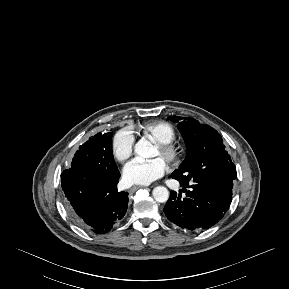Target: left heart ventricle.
<instances>
[{"instance_id":"obj_1","label":"left heart ventricle","mask_w":289,"mask_h":289,"mask_svg":"<svg viewBox=\"0 0 289 289\" xmlns=\"http://www.w3.org/2000/svg\"><path fill=\"white\" fill-rule=\"evenodd\" d=\"M150 157H151V158H159V159H161L164 163H166L165 158L163 157V155L159 152V150H158L156 147H154V149H153Z\"/></svg>"}]
</instances>
